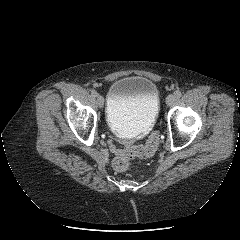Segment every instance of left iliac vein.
<instances>
[{
	"mask_svg": "<svg viewBox=\"0 0 240 240\" xmlns=\"http://www.w3.org/2000/svg\"><path fill=\"white\" fill-rule=\"evenodd\" d=\"M176 100V96L174 94H169L166 98V104L168 106H172Z\"/></svg>",
	"mask_w": 240,
	"mask_h": 240,
	"instance_id": "4c4485c4",
	"label": "left iliac vein"
}]
</instances>
